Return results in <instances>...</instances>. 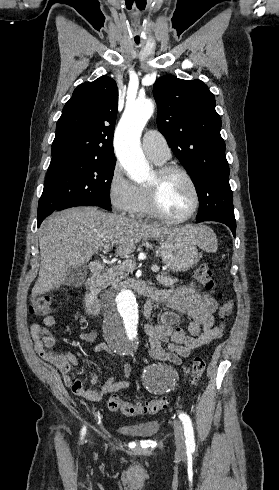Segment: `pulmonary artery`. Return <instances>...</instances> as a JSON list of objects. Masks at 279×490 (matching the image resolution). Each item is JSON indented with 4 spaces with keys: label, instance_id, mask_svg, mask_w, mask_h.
<instances>
[{
    "label": "pulmonary artery",
    "instance_id": "obj_1",
    "mask_svg": "<svg viewBox=\"0 0 279 490\" xmlns=\"http://www.w3.org/2000/svg\"><path fill=\"white\" fill-rule=\"evenodd\" d=\"M142 147L147 157L157 164H162L171 157L168 143L157 129H149L144 133Z\"/></svg>",
    "mask_w": 279,
    "mask_h": 490
}]
</instances>
